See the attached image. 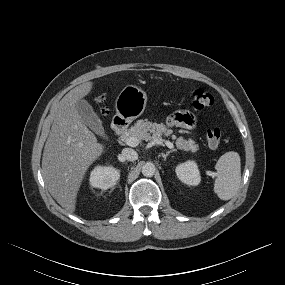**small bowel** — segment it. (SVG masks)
I'll return each instance as SVG.
<instances>
[{
  "label": "small bowel",
  "instance_id": "obj_1",
  "mask_svg": "<svg viewBox=\"0 0 285 285\" xmlns=\"http://www.w3.org/2000/svg\"><path fill=\"white\" fill-rule=\"evenodd\" d=\"M168 123L184 129H192L197 125V119L191 112L179 110L168 117Z\"/></svg>",
  "mask_w": 285,
  "mask_h": 285
}]
</instances>
